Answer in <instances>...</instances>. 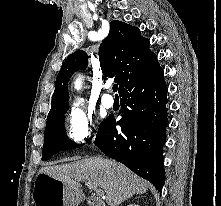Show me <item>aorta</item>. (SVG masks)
I'll list each match as a JSON object with an SVG mask.
<instances>
[{
    "label": "aorta",
    "instance_id": "aorta-1",
    "mask_svg": "<svg viewBox=\"0 0 221 206\" xmlns=\"http://www.w3.org/2000/svg\"><path fill=\"white\" fill-rule=\"evenodd\" d=\"M81 84H82L81 78L76 79V81H75V88L77 90H79L81 88Z\"/></svg>",
    "mask_w": 221,
    "mask_h": 206
}]
</instances>
